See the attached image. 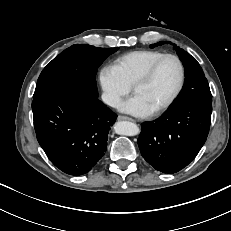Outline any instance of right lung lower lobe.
Segmentation results:
<instances>
[{"mask_svg": "<svg viewBox=\"0 0 231 231\" xmlns=\"http://www.w3.org/2000/svg\"><path fill=\"white\" fill-rule=\"evenodd\" d=\"M37 140L64 173H87L104 155L117 115L96 96L67 91L33 99Z\"/></svg>", "mask_w": 231, "mask_h": 231, "instance_id": "98d812e1", "label": "right lung lower lobe"}]
</instances>
